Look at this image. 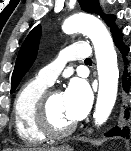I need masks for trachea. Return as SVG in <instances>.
I'll return each mask as SVG.
<instances>
[{
    "instance_id": "3493384b",
    "label": "trachea",
    "mask_w": 131,
    "mask_h": 151,
    "mask_svg": "<svg viewBox=\"0 0 131 151\" xmlns=\"http://www.w3.org/2000/svg\"><path fill=\"white\" fill-rule=\"evenodd\" d=\"M85 62H86V63H91L92 60H91L90 58H87V59L85 60Z\"/></svg>"
}]
</instances>
